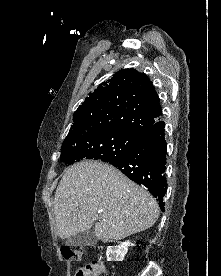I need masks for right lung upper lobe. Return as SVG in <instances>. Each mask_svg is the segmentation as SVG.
Instances as JSON below:
<instances>
[{"mask_svg":"<svg viewBox=\"0 0 221 276\" xmlns=\"http://www.w3.org/2000/svg\"><path fill=\"white\" fill-rule=\"evenodd\" d=\"M161 115L159 97L150 79L135 69H123L85 98L74 113L64 142L112 132L141 138Z\"/></svg>","mask_w":221,"mask_h":276,"instance_id":"right-lung-upper-lobe-1","label":"right lung upper lobe"}]
</instances>
